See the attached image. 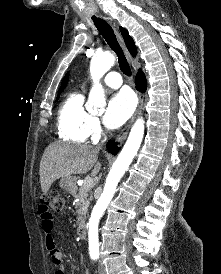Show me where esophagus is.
Masks as SVG:
<instances>
[{
	"label": "esophagus",
	"instance_id": "obj_1",
	"mask_svg": "<svg viewBox=\"0 0 221 274\" xmlns=\"http://www.w3.org/2000/svg\"><path fill=\"white\" fill-rule=\"evenodd\" d=\"M113 27H114V30H115V33H116V36H117V39L121 45V47L123 48L124 50V53L127 57V59L129 61H132V57L129 53V51L127 50L126 48V45L124 43V40L121 36V33L119 32L118 28L116 27L115 23H113ZM143 107V95L141 93H139V103H138V107L134 113V115L132 116V118L130 119V121L127 123V125L122 129V131L118 134L117 138H116V141L117 142H123L124 139L126 138L128 132H129V129L131 128L134 120L136 119V117L140 114L141 112V109Z\"/></svg>",
	"mask_w": 221,
	"mask_h": 274
}]
</instances>
